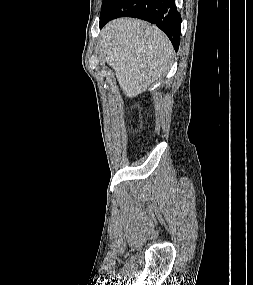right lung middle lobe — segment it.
Listing matches in <instances>:
<instances>
[{
  "mask_svg": "<svg viewBox=\"0 0 253 285\" xmlns=\"http://www.w3.org/2000/svg\"><path fill=\"white\" fill-rule=\"evenodd\" d=\"M114 0H103L101 14H103ZM100 14V15H101Z\"/></svg>",
  "mask_w": 253,
  "mask_h": 285,
  "instance_id": "right-lung-middle-lobe-1",
  "label": "right lung middle lobe"
}]
</instances>
